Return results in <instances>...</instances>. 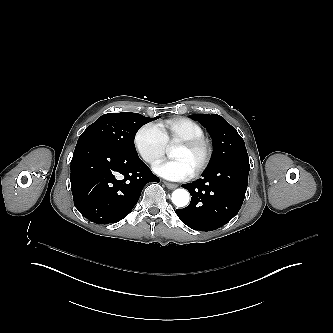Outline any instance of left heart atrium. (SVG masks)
Masks as SVG:
<instances>
[{"label":"left heart atrium","instance_id":"1","mask_svg":"<svg viewBox=\"0 0 333 333\" xmlns=\"http://www.w3.org/2000/svg\"><path fill=\"white\" fill-rule=\"evenodd\" d=\"M155 172L172 181H186L194 175V169L181 160L164 161L155 168Z\"/></svg>","mask_w":333,"mask_h":333}]
</instances>
